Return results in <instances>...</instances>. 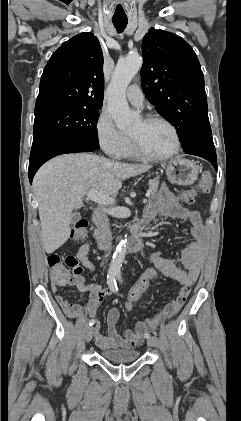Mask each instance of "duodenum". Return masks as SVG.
Masks as SVG:
<instances>
[{
    "mask_svg": "<svg viewBox=\"0 0 241 421\" xmlns=\"http://www.w3.org/2000/svg\"><path fill=\"white\" fill-rule=\"evenodd\" d=\"M95 224H96V229L94 233L95 239L97 240L100 249H106L107 240H106L105 233L96 221H95ZM142 246H143V236L141 233H137L130 240L129 250L131 252H137L142 248Z\"/></svg>",
    "mask_w": 241,
    "mask_h": 421,
    "instance_id": "duodenum-1",
    "label": "duodenum"
}]
</instances>
